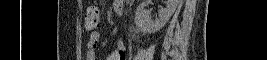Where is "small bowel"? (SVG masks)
Here are the masks:
<instances>
[{
	"mask_svg": "<svg viewBox=\"0 0 267 60\" xmlns=\"http://www.w3.org/2000/svg\"><path fill=\"white\" fill-rule=\"evenodd\" d=\"M124 5L123 1H116L114 3V9L117 7L122 8ZM101 35L100 32H92L89 36V40L87 43V59L94 60L95 59V50L100 41ZM107 60H126V54L124 50V45L122 39L118 40V49L111 52L107 57Z\"/></svg>",
	"mask_w": 267,
	"mask_h": 60,
	"instance_id": "small-bowel-1",
	"label": "small bowel"
}]
</instances>
